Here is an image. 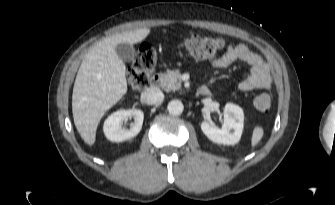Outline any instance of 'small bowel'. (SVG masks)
<instances>
[{"label":"small bowel","instance_id":"obj_1","mask_svg":"<svg viewBox=\"0 0 335 205\" xmlns=\"http://www.w3.org/2000/svg\"><path fill=\"white\" fill-rule=\"evenodd\" d=\"M237 60L244 61L250 66V74L238 85L241 91L267 89L270 87L271 81L264 61L245 44L229 46L221 57L212 61V65L216 68L224 69Z\"/></svg>","mask_w":335,"mask_h":205}]
</instances>
